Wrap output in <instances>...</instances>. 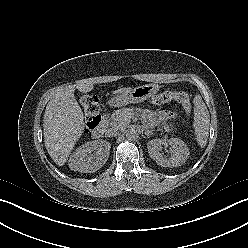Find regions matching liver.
Instances as JSON below:
<instances>
[{"instance_id":"liver-1","label":"liver","mask_w":248,"mask_h":248,"mask_svg":"<svg viewBox=\"0 0 248 248\" xmlns=\"http://www.w3.org/2000/svg\"><path fill=\"white\" fill-rule=\"evenodd\" d=\"M77 88L89 92L92 84L79 82L59 90L48 102L43 119L45 147L58 166H63L85 128L81 107L74 97ZM131 88H122L113 93H122Z\"/></svg>"}]
</instances>
